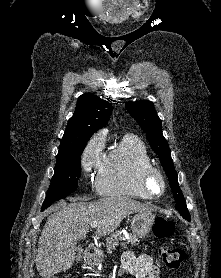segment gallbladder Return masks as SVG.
Returning <instances> with one entry per match:
<instances>
[{"label": "gallbladder", "instance_id": "obj_1", "mask_svg": "<svg viewBox=\"0 0 221 278\" xmlns=\"http://www.w3.org/2000/svg\"><path fill=\"white\" fill-rule=\"evenodd\" d=\"M81 253H82V251H81V249H79L78 254L76 256V261L77 262L81 261V258H82Z\"/></svg>", "mask_w": 221, "mask_h": 278}]
</instances>
